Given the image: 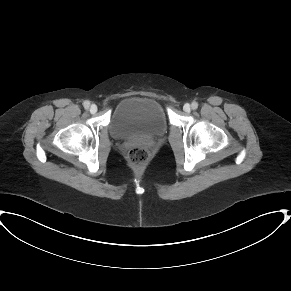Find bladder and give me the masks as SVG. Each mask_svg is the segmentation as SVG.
Returning a JSON list of instances; mask_svg holds the SVG:
<instances>
[{
    "mask_svg": "<svg viewBox=\"0 0 291 291\" xmlns=\"http://www.w3.org/2000/svg\"><path fill=\"white\" fill-rule=\"evenodd\" d=\"M167 120L161 106L152 98L129 96L114 109L109 133L118 141L155 139L165 134Z\"/></svg>",
    "mask_w": 291,
    "mask_h": 291,
    "instance_id": "obj_1",
    "label": "bladder"
}]
</instances>
